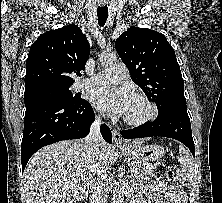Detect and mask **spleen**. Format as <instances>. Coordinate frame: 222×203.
<instances>
[{"instance_id":"obj_1","label":"spleen","mask_w":222,"mask_h":203,"mask_svg":"<svg viewBox=\"0 0 222 203\" xmlns=\"http://www.w3.org/2000/svg\"><path fill=\"white\" fill-rule=\"evenodd\" d=\"M178 161L181 165V169L176 171V178L182 185L190 187L195 176L194 162L190 152L183 145L179 146Z\"/></svg>"}]
</instances>
